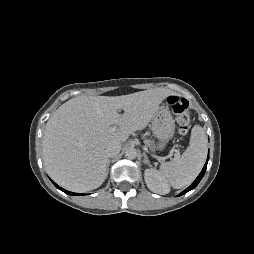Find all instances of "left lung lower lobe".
Here are the masks:
<instances>
[{"label": "left lung lower lobe", "mask_w": 254, "mask_h": 254, "mask_svg": "<svg viewBox=\"0 0 254 254\" xmlns=\"http://www.w3.org/2000/svg\"><path fill=\"white\" fill-rule=\"evenodd\" d=\"M208 160H209V154H208V158H207V161H206V164L204 165L201 173L199 174V176L195 179V181L187 188L185 189L184 191H182L178 196H181L187 192H189L190 190L194 189L198 183L201 181L202 177L204 176L205 174V171H206V168H207V163H208Z\"/></svg>", "instance_id": "1"}]
</instances>
